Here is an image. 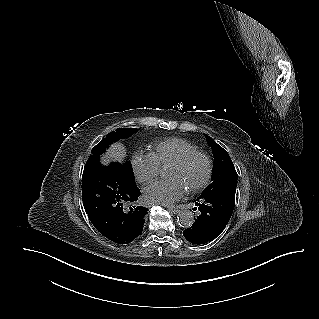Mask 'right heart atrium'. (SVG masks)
Listing matches in <instances>:
<instances>
[{
	"label": "right heart atrium",
	"instance_id": "right-heart-atrium-1",
	"mask_svg": "<svg viewBox=\"0 0 319 319\" xmlns=\"http://www.w3.org/2000/svg\"><path fill=\"white\" fill-rule=\"evenodd\" d=\"M132 171L137 182L148 184L160 174V166L151 153H135L131 160Z\"/></svg>",
	"mask_w": 319,
	"mask_h": 319
}]
</instances>
